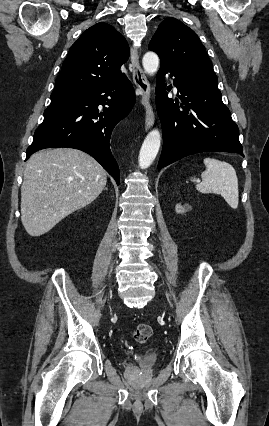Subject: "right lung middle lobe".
I'll list each match as a JSON object with an SVG mask.
<instances>
[{"instance_id":"right-lung-middle-lobe-1","label":"right lung middle lobe","mask_w":269,"mask_h":426,"mask_svg":"<svg viewBox=\"0 0 269 426\" xmlns=\"http://www.w3.org/2000/svg\"><path fill=\"white\" fill-rule=\"evenodd\" d=\"M76 94L77 92H69V91L52 92L51 103L47 109L57 107L61 104H64L72 100L76 96Z\"/></svg>"}]
</instances>
